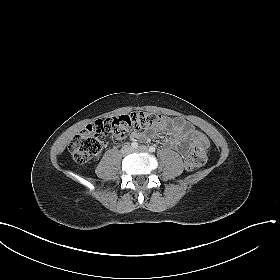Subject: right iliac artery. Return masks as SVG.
<instances>
[{
    "instance_id": "1",
    "label": "right iliac artery",
    "mask_w": 280,
    "mask_h": 280,
    "mask_svg": "<svg viewBox=\"0 0 280 280\" xmlns=\"http://www.w3.org/2000/svg\"><path fill=\"white\" fill-rule=\"evenodd\" d=\"M131 147L134 148V149L138 148V143L135 142V141H133V142L131 143Z\"/></svg>"
}]
</instances>
